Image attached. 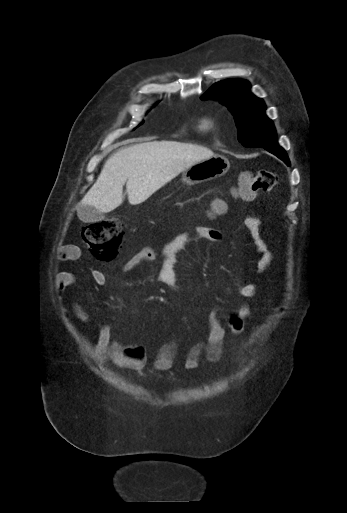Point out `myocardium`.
Returning <instances> with one entry per match:
<instances>
[{
  "mask_svg": "<svg viewBox=\"0 0 347 513\" xmlns=\"http://www.w3.org/2000/svg\"><path fill=\"white\" fill-rule=\"evenodd\" d=\"M213 126H214V122H213V120H211V119H205V120L203 121V127H204V128H206V129H210V128H212Z\"/></svg>",
  "mask_w": 347,
  "mask_h": 513,
  "instance_id": "f54148a6",
  "label": "myocardium"
}]
</instances>
